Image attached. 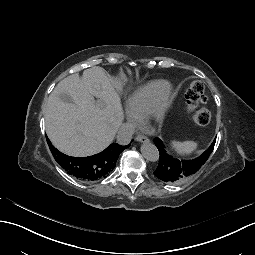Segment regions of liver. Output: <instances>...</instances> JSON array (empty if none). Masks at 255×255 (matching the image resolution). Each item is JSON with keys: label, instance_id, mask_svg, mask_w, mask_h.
<instances>
[{"label": "liver", "instance_id": "1", "mask_svg": "<svg viewBox=\"0 0 255 255\" xmlns=\"http://www.w3.org/2000/svg\"><path fill=\"white\" fill-rule=\"evenodd\" d=\"M99 96L95 101L91 96ZM63 98L71 102L64 101ZM122 121L118 95L102 67L76 73L61 81L48 99L46 131L62 153L85 157L104 150Z\"/></svg>", "mask_w": 255, "mask_h": 255}]
</instances>
